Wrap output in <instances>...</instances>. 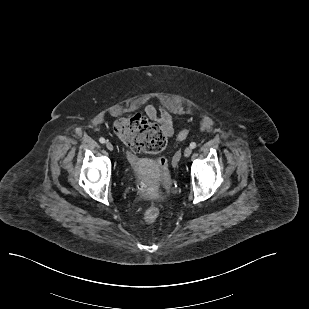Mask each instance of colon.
I'll use <instances>...</instances> for the list:
<instances>
[{
  "label": "colon",
  "mask_w": 309,
  "mask_h": 309,
  "mask_svg": "<svg viewBox=\"0 0 309 309\" xmlns=\"http://www.w3.org/2000/svg\"><path fill=\"white\" fill-rule=\"evenodd\" d=\"M114 132L117 137L137 152L157 154L162 152L167 145L164 132L153 123L148 122L142 115L134 114L121 118L114 124ZM188 136L186 130L178 135L179 140H184ZM168 161L166 158L159 160L162 173L166 174ZM159 216V209L156 206L149 207L144 213L146 223H153Z\"/></svg>",
  "instance_id": "1"
}]
</instances>
